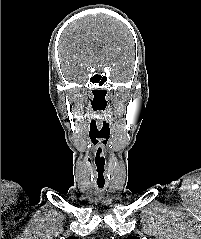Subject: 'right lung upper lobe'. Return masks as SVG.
I'll list each match as a JSON object with an SVG mask.
<instances>
[{
    "label": "right lung upper lobe",
    "mask_w": 201,
    "mask_h": 239,
    "mask_svg": "<svg viewBox=\"0 0 201 239\" xmlns=\"http://www.w3.org/2000/svg\"><path fill=\"white\" fill-rule=\"evenodd\" d=\"M67 239H76L75 237L71 236V237H68Z\"/></svg>",
    "instance_id": "obj_1"
}]
</instances>
